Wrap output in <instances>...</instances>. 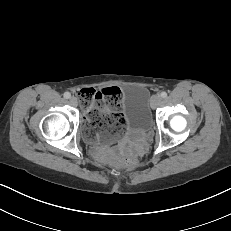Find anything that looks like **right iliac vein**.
I'll return each mask as SVG.
<instances>
[{
    "label": "right iliac vein",
    "mask_w": 231,
    "mask_h": 231,
    "mask_svg": "<svg viewBox=\"0 0 231 231\" xmlns=\"http://www.w3.org/2000/svg\"><path fill=\"white\" fill-rule=\"evenodd\" d=\"M70 104L76 107L78 105L77 99L75 97L70 98Z\"/></svg>",
    "instance_id": "obj_1"
}]
</instances>
